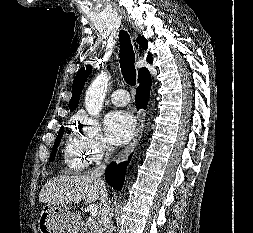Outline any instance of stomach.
Returning <instances> with one entry per match:
<instances>
[{"mask_svg": "<svg viewBox=\"0 0 253 233\" xmlns=\"http://www.w3.org/2000/svg\"><path fill=\"white\" fill-rule=\"evenodd\" d=\"M74 220V214L66 205L46 203L38 220V228L40 233H64L67 229L76 231Z\"/></svg>", "mask_w": 253, "mask_h": 233, "instance_id": "obj_1", "label": "stomach"}]
</instances>
